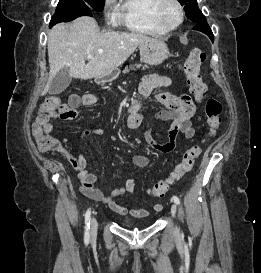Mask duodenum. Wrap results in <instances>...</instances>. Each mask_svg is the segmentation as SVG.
I'll list each match as a JSON object with an SVG mask.
<instances>
[{
    "mask_svg": "<svg viewBox=\"0 0 261 273\" xmlns=\"http://www.w3.org/2000/svg\"><path fill=\"white\" fill-rule=\"evenodd\" d=\"M138 107L139 104H135L129 114V119L133 127H138L143 121L142 115L138 112Z\"/></svg>",
    "mask_w": 261,
    "mask_h": 273,
    "instance_id": "1",
    "label": "duodenum"
}]
</instances>
